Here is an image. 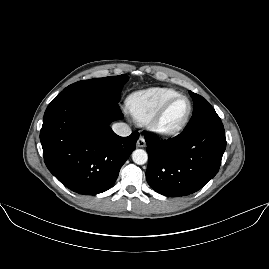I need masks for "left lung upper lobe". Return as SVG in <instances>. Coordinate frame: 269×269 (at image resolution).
Wrapping results in <instances>:
<instances>
[{
    "instance_id": "left-lung-upper-lobe-1",
    "label": "left lung upper lobe",
    "mask_w": 269,
    "mask_h": 269,
    "mask_svg": "<svg viewBox=\"0 0 269 269\" xmlns=\"http://www.w3.org/2000/svg\"><path fill=\"white\" fill-rule=\"evenodd\" d=\"M189 94L194 102V111L185 130L193 129L208 123L221 122V119L214 108L202 96L191 91H189Z\"/></svg>"
}]
</instances>
